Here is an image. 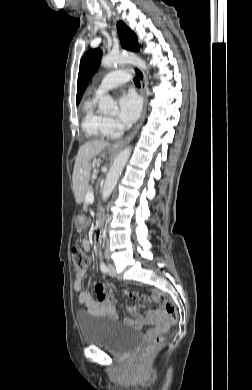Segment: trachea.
<instances>
[{"label": "trachea", "instance_id": "obj_1", "mask_svg": "<svg viewBox=\"0 0 252 390\" xmlns=\"http://www.w3.org/2000/svg\"><path fill=\"white\" fill-rule=\"evenodd\" d=\"M134 83H135L136 86H139V87H140V80H139L138 77H135V78H134Z\"/></svg>", "mask_w": 252, "mask_h": 390}]
</instances>
